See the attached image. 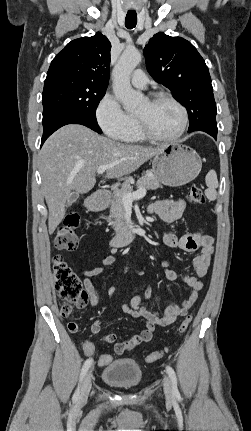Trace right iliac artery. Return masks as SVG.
<instances>
[{
    "label": "right iliac artery",
    "mask_w": 251,
    "mask_h": 431,
    "mask_svg": "<svg viewBox=\"0 0 251 431\" xmlns=\"http://www.w3.org/2000/svg\"><path fill=\"white\" fill-rule=\"evenodd\" d=\"M92 362H93V359H92V358H89V359H87V360L84 362V364H83V367H82V369H81V373H80V384H79V386H78L77 390L75 391V393H74V395H73V400H74V401H77V400H78V398H79V392H80V385H81V382H82L83 378L85 377V375H86V373H87V371H88L89 367L91 366Z\"/></svg>",
    "instance_id": "82829eb1"
}]
</instances>
